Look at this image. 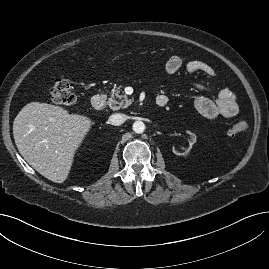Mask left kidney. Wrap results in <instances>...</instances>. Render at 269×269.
I'll list each match as a JSON object with an SVG mask.
<instances>
[{
    "mask_svg": "<svg viewBox=\"0 0 269 269\" xmlns=\"http://www.w3.org/2000/svg\"><path fill=\"white\" fill-rule=\"evenodd\" d=\"M189 133V138H188V142H189V147L188 148H183L184 150L181 152L180 150H177L175 147H173L172 151L175 155L178 156H186L188 155V153L190 152L193 144L196 142V135L194 133L188 132Z\"/></svg>",
    "mask_w": 269,
    "mask_h": 269,
    "instance_id": "5707ae66",
    "label": "left kidney"
}]
</instances>
